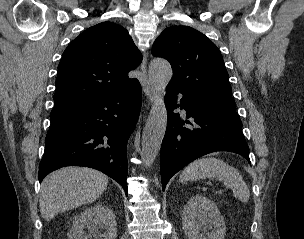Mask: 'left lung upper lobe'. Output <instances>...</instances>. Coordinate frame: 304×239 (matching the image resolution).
I'll list each match as a JSON object with an SVG mask.
<instances>
[{"mask_svg":"<svg viewBox=\"0 0 304 239\" xmlns=\"http://www.w3.org/2000/svg\"><path fill=\"white\" fill-rule=\"evenodd\" d=\"M152 54L172 66L167 87L196 102L236 111L222 55L204 34L188 26L168 27L154 42Z\"/></svg>","mask_w":304,"mask_h":239,"instance_id":"1","label":"left lung upper lobe"}]
</instances>
